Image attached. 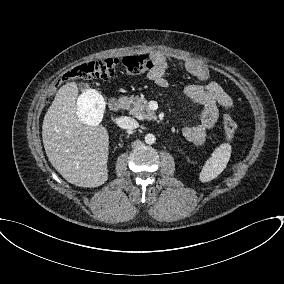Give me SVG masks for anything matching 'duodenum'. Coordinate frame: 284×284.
Returning a JSON list of instances; mask_svg holds the SVG:
<instances>
[{
	"instance_id": "410a0bca",
	"label": "duodenum",
	"mask_w": 284,
	"mask_h": 284,
	"mask_svg": "<svg viewBox=\"0 0 284 284\" xmlns=\"http://www.w3.org/2000/svg\"><path fill=\"white\" fill-rule=\"evenodd\" d=\"M109 107L112 111L117 112L122 108V103L117 98H112L109 101Z\"/></svg>"
}]
</instances>
